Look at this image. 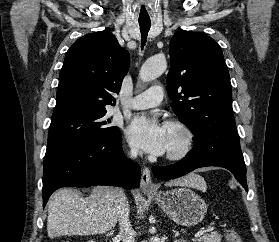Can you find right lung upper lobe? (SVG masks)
Returning a JSON list of instances; mask_svg holds the SVG:
<instances>
[{"instance_id":"1","label":"right lung upper lobe","mask_w":279,"mask_h":242,"mask_svg":"<svg viewBox=\"0 0 279 242\" xmlns=\"http://www.w3.org/2000/svg\"><path fill=\"white\" fill-rule=\"evenodd\" d=\"M130 56L108 31L78 39L67 51L59 75L53 114L113 105L127 74Z\"/></svg>"}]
</instances>
